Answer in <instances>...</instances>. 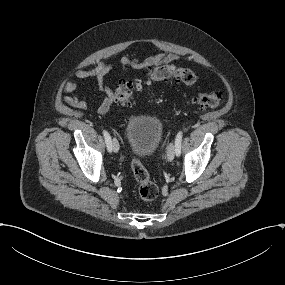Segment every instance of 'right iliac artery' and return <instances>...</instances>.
<instances>
[{
	"mask_svg": "<svg viewBox=\"0 0 285 285\" xmlns=\"http://www.w3.org/2000/svg\"><path fill=\"white\" fill-rule=\"evenodd\" d=\"M103 136H104V139H105V142H106V145H107V149L109 152H111V137H110V134L106 131V130H103Z\"/></svg>",
	"mask_w": 285,
	"mask_h": 285,
	"instance_id": "82829eb1",
	"label": "right iliac artery"
}]
</instances>
